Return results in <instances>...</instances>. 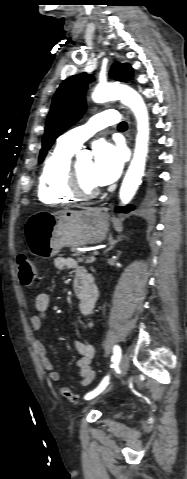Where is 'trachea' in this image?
Segmentation results:
<instances>
[{
    "label": "trachea",
    "instance_id": "3493384b",
    "mask_svg": "<svg viewBox=\"0 0 187 479\" xmlns=\"http://www.w3.org/2000/svg\"><path fill=\"white\" fill-rule=\"evenodd\" d=\"M118 128L119 129H126L127 128L126 122H124V121L120 122L119 125H118Z\"/></svg>",
    "mask_w": 187,
    "mask_h": 479
}]
</instances>
